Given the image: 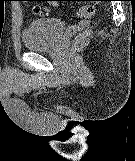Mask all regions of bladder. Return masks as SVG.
Segmentation results:
<instances>
[{
  "label": "bladder",
  "mask_w": 135,
  "mask_h": 161,
  "mask_svg": "<svg viewBox=\"0 0 135 161\" xmlns=\"http://www.w3.org/2000/svg\"><path fill=\"white\" fill-rule=\"evenodd\" d=\"M65 31V24L57 18H39L32 20L23 32L24 47L31 51H40L54 47Z\"/></svg>",
  "instance_id": "31cf9c89"
}]
</instances>
